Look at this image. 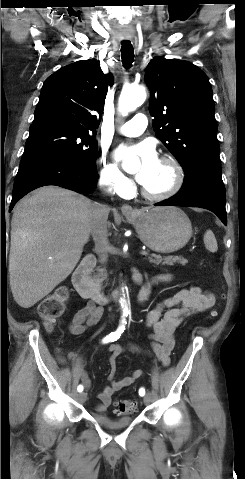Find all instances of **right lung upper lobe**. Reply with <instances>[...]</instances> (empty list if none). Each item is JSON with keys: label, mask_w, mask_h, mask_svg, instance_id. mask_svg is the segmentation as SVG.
<instances>
[{"label": "right lung upper lobe", "mask_w": 245, "mask_h": 479, "mask_svg": "<svg viewBox=\"0 0 245 479\" xmlns=\"http://www.w3.org/2000/svg\"><path fill=\"white\" fill-rule=\"evenodd\" d=\"M112 82V75H105L96 60L60 68L45 80L30 127L64 125L94 132Z\"/></svg>", "instance_id": "right-lung-upper-lobe-1"}]
</instances>
